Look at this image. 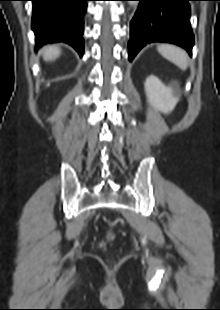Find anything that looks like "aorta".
<instances>
[{"mask_svg": "<svg viewBox=\"0 0 220 310\" xmlns=\"http://www.w3.org/2000/svg\"><path fill=\"white\" fill-rule=\"evenodd\" d=\"M129 4H130V6H137L138 2L137 1H130Z\"/></svg>", "mask_w": 220, "mask_h": 310, "instance_id": "obj_1", "label": "aorta"}]
</instances>
